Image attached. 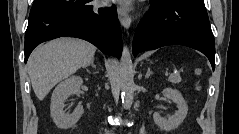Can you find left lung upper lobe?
Returning a JSON list of instances; mask_svg holds the SVG:
<instances>
[{
    "label": "left lung upper lobe",
    "instance_id": "1",
    "mask_svg": "<svg viewBox=\"0 0 239 134\" xmlns=\"http://www.w3.org/2000/svg\"><path fill=\"white\" fill-rule=\"evenodd\" d=\"M154 1H156V2H163V1H165V0H154Z\"/></svg>",
    "mask_w": 239,
    "mask_h": 134
}]
</instances>
